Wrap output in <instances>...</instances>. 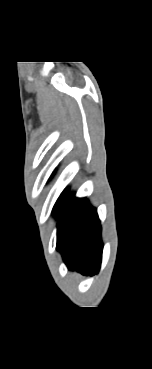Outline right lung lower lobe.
I'll return each mask as SVG.
<instances>
[{"label":"right lung lower lobe","instance_id":"obj_1","mask_svg":"<svg viewBox=\"0 0 152 369\" xmlns=\"http://www.w3.org/2000/svg\"><path fill=\"white\" fill-rule=\"evenodd\" d=\"M57 216V249L68 269L86 275L98 273L102 241L96 209L85 198L65 197Z\"/></svg>","mask_w":152,"mask_h":369}]
</instances>
